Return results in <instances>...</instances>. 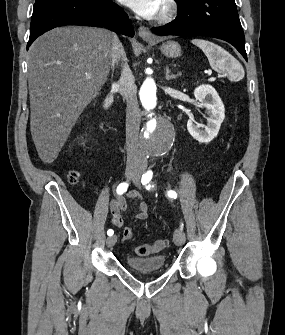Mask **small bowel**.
Returning a JSON list of instances; mask_svg holds the SVG:
<instances>
[{
	"instance_id": "small-bowel-1",
	"label": "small bowel",
	"mask_w": 285,
	"mask_h": 335,
	"mask_svg": "<svg viewBox=\"0 0 285 335\" xmlns=\"http://www.w3.org/2000/svg\"><path fill=\"white\" fill-rule=\"evenodd\" d=\"M128 197L138 205L135 218L141 221L146 220L149 217V207L142 195L138 191H131ZM109 206L112 214V224L116 227H121L124 224V213L127 209L126 199L123 196H116L110 201Z\"/></svg>"
}]
</instances>
